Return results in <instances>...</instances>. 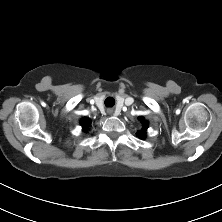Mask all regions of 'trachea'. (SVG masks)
I'll return each instance as SVG.
<instances>
[{
	"label": "trachea",
	"instance_id": "1",
	"mask_svg": "<svg viewBox=\"0 0 222 222\" xmlns=\"http://www.w3.org/2000/svg\"><path fill=\"white\" fill-rule=\"evenodd\" d=\"M105 105H106V107H113L114 106V104H115V100H114V98L113 97H107L106 99H105Z\"/></svg>",
	"mask_w": 222,
	"mask_h": 222
}]
</instances>
